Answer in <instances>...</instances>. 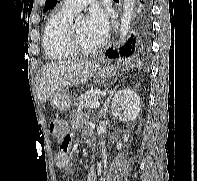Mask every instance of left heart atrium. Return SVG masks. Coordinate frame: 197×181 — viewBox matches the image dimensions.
Wrapping results in <instances>:
<instances>
[{
    "mask_svg": "<svg viewBox=\"0 0 197 181\" xmlns=\"http://www.w3.org/2000/svg\"><path fill=\"white\" fill-rule=\"evenodd\" d=\"M89 31L103 41L108 33L109 23L105 12L100 7H93L89 12L87 20Z\"/></svg>",
    "mask_w": 197,
    "mask_h": 181,
    "instance_id": "1",
    "label": "left heart atrium"
}]
</instances>
